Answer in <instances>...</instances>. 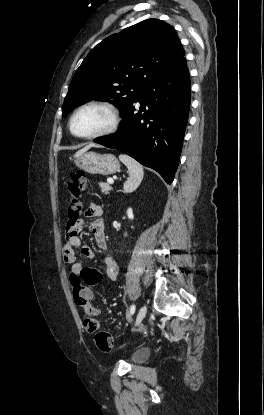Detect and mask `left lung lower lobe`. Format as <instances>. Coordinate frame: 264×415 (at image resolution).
<instances>
[{
    "mask_svg": "<svg viewBox=\"0 0 264 415\" xmlns=\"http://www.w3.org/2000/svg\"><path fill=\"white\" fill-rule=\"evenodd\" d=\"M137 102L140 108L135 113ZM189 108L190 75L183 57L126 107L117 132L94 142L126 153L170 184L179 164Z\"/></svg>",
    "mask_w": 264,
    "mask_h": 415,
    "instance_id": "1",
    "label": "left lung lower lobe"
}]
</instances>
